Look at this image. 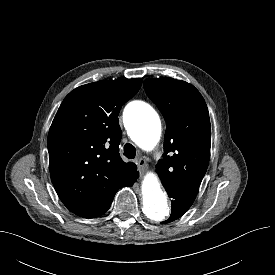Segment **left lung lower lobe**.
<instances>
[{"instance_id":"left-lung-lower-lobe-1","label":"left lung lower lobe","mask_w":275,"mask_h":275,"mask_svg":"<svg viewBox=\"0 0 275 275\" xmlns=\"http://www.w3.org/2000/svg\"><path fill=\"white\" fill-rule=\"evenodd\" d=\"M165 187L168 196L172 198L171 207L172 212L170 218L163 222L168 223L174 221L181 217L186 211L190 208L192 203L194 202L198 191L193 189L181 188V187H173L162 182Z\"/></svg>"}]
</instances>
